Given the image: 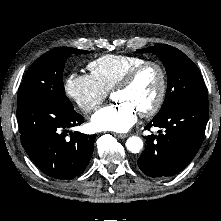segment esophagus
Returning <instances> with one entry per match:
<instances>
[{
    "label": "esophagus",
    "mask_w": 221,
    "mask_h": 221,
    "mask_svg": "<svg viewBox=\"0 0 221 221\" xmlns=\"http://www.w3.org/2000/svg\"><path fill=\"white\" fill-rule=\"evenodd\" d=\"M116 137L120 138V139H124L126 138L128 135L127 134H115Z\"/></svg>",
    "instance_id": "obj_1"
}]
</instances>
